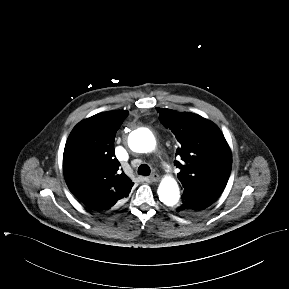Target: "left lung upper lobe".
<instances>
[{"mask_svg": "<svg viewBox=\"0 0 289 289\" xmlns=\"http://www.w3.org/2000/svg\"><path fill=\"white\" fill-rule=\"evenodd\" d=\"M161 123L177 138L180 147L174 161L181 169L178 179L184 193L216 200L225 188L232 167L230 148L220 129L211 121L190 112L157 108Z\"/></svg>", "mask_w": 289, "mask_h": 289, "instance_id": "obj_1", "label": "left lung upper lobe"}]
</instances>
